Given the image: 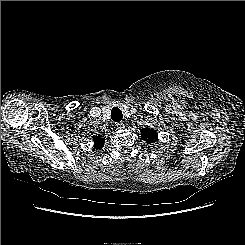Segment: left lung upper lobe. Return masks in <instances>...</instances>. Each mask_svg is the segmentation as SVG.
<instances>
[{
	"label": "left lung upper lobe",
	"instance_id": "5c2ea615",
	"mask_svg": "<svg viewBox=\"0 0 245 245\" xmlns=\"http://www.w3.org/2000/svg\"><path fill=\"white\" fill-rule=\"evenodd\" d=\"M141 137L146 143L150 144L157 140V133L155 130L149 128H143L140 130Z\"/></svg>",
	"mask_w": 245,
	"mask_h": 245
}]
</instances>
